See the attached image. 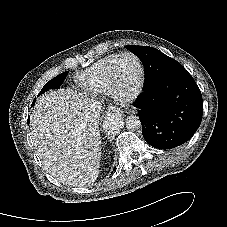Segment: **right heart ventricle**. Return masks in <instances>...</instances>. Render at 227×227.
Instances as JSON below:
<instances>
[{
    "label": "right heart ventricle",
    "mask_w": 227,
    "mask_h": 227,
    "mask_svg": "<svg viewBox=\"0 0 227 227\" xmlns=\"http://www.w3.org/2000/svg\"><path fill=\"white\" fill-rule=\"evenodd\" d=\"M118 54L108 55L86 70L79 79L81 90L90 95L109 94L108 71Z\"/></svg>",
    "instance_id": "right-heart-ventricle-1"
}]
</instances>
